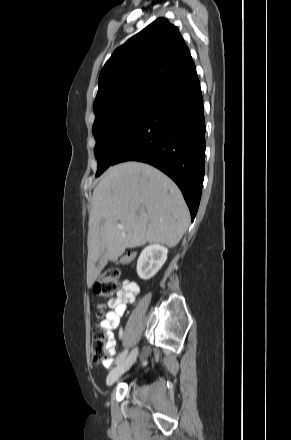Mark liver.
<instances>
[{"instance_id": "6515ba94", "label": "liver", "mask_w": 291, "mask_h": 440, "mask_svg": "<svg viewBox=\"0 0 291 440\" xmlns=\"http://www.w3.org/2000/svg\"><path fill=\"white\" fill-rule=\"evenodd\" d=\"M188 207L177 185L140 162L110 167L93 191L88 230L87 284L108 261L149 243L175 247L188 229ZM123 225L119 229L118 225Z\"/></svg>"}]
</instances>
